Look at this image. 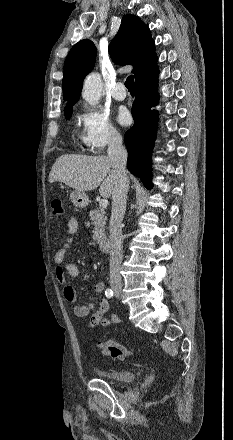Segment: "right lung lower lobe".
<instances>
[{"instance_id": "obj_1", "label": "right lung lower lobe", "mask_w": 233, "mask_h": 440, "mask_svg": "<svg viewBox=\"0 0 233 440\" xmlns=\"http://www.w3.org/2000/svg\"><path fill=\"white\" fill-rule=\"evenodd\" d=\"M158 68L135 83L132 105L134 125L125 133L128 149L127 167L147 188L151 183V154L157 126V111L150 110L158 102Z\"/></svg>"}]
</instances>
